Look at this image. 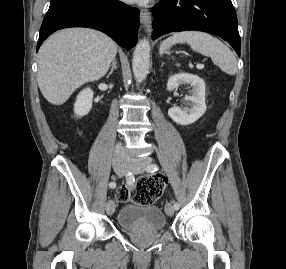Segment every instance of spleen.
Listing matches in <instances>:
<instances>
[{"label":"spleen","mask_w":286,"mask_h":269,"mask_svg":"<svg viewBox=\"0 0 286 269\" xmlns=\"http://www.w3.org/2000/svg\"><path fill=\"white\" fill-rule=\"evenodd\" d=\"M177 43H187L192 50L204 56L211 57L212 61L220 67L222 71L229 75L237 72V61L232 51L219 39L208 33L201 31L177 32L162 42L160 54ZM179 66V64H177Z\"/></svg>","instance_id":"3e777b00"}]
</instances>
